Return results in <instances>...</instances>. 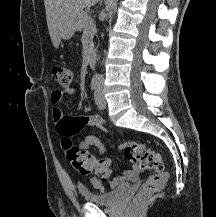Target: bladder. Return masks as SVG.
I'll list each match as a JSON object with an SVG mask.
<instances>
[{
    "mask_svg": "<svg viewBox=\"0 0 216 217\" xmlns=\"http://www.w3.org/2000/svg\"><path fill=\"white\" fill-rule=\"evenodd\" d=\"M129 188L128 185H121L113 190L106 192H93L90 190L82 189L81 196L82 198L89 203L98 204V205H112L117 203L124 192Z\"/></svg>",
    "mask_w": 216,
    "mask_h": 217,
    "instance_id": "obj_1",
    "label": "bladder"
}]
</instances>
